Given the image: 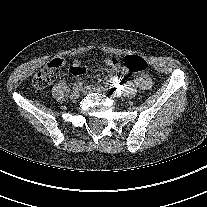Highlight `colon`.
I'll list each match as a JSON object with an SVG mask.
<instances>
[{"label":"colon","instance_id":"colon-1","mask_svg":"<svg viewBox=\"0 0 207 207\" xmlns=\"http://www.w3.org/2000/svg\"><path fill=\"white\" fill-rule=\"evenodd\" d=\"M125 65L130 72L139 73L147 69V62L144 58L138 55H128L124 59ZM64 65L62 59L52 60L48 66L37 72L33 79L32 84L34 88L39 91H45L54 81L56 77V70Z\"/></svg>","mask_w":207,"mask_h":207}]
</instances>
